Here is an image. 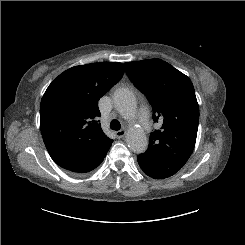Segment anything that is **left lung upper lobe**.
Masks as SVG:
<instances>
[{"label": "left lung upper lobe", "instance_id": "obj_1", "mask_svg": "<svg viewBox=\"0 0 245 245\" xmlns=\"http://www.w3.org/2000/svg\"><path fill=\"white\" fill-rule=\"evenodd\" d=\"M130 80L153 108L162 127L150 134L145 153L162 156L183 167L193 152L199 107L191 80L161 59L124 63Z\"/></svg>", "mask_w": 245, "mask_h": 245}]
</instances>
